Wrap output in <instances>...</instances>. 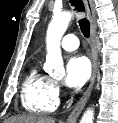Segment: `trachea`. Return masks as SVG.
Here are the masks:
<instances>
[{"mask_svg": "<svg viewBox=\"0 0 118 123\" xmlns=\"http://www.w3.org/2000/svg\"><path fill=\"white\" fill-rule=\"evenodd\" d=\"M71 5L75 8L77 12H84V3L82 0H70ZM79 25L81 32L86 38H89L90 36V24L89 21L86 20V18H82L79 20Z\"/></svg>", "mask_w": 118, "mask_h": 123, "instance_id": "1", "label": "trachea"}]
</instances>
